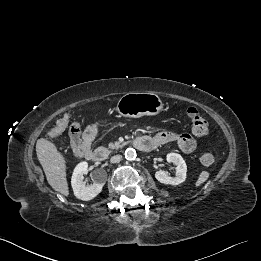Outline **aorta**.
<instances>
[{"instance_id":"762f6f07","label":"aorta","mask_w":261,"mask_h":261,"mask_svg":"<svg viewBox=\"0 0 261 261\" xmlns=\"http://www.w3.org/2000/svg\"><path fill=\"white\" fill-rule=\"evenodd\" d=\"M125 158L127 159V160H134L135 158H136V156H137V154H136V150L135 149H133V148H127L126 150H125Z\"/></svg>"}]
</instances>
